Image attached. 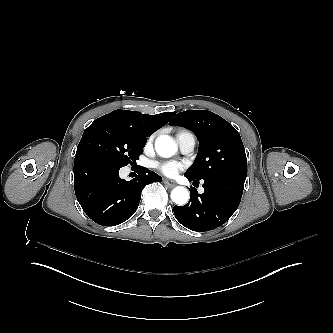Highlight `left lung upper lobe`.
<instances>
[{
  "label": "left lung upper lobe",
  "instance_id": "obj_1",
  "mask_svg": "<svg viewBox=\"0 0 333 333\" xmlns=\"http://www.w3.org/2000/svg\"><path fill=\"white\" fill-rule=\"evenodd\" d=\"M169 124L190 129L199 141L197 157L186 176L204 182L227 174L246 177L244 145L229 122L210 111L192 110L178 113Z\"/></svg>",
  "mask_w": 333,
  "mask_h": 333
}]
</instances>
